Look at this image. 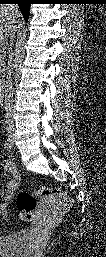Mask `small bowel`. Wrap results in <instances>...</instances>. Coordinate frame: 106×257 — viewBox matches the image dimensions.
Here are the masks:
<instances>
[{"label": "small bowel", "mask_w": 106, "mask_h": 257, "mask_svg": "<svg viewBox=\"0 0 106 257\" xmlns=\"http://www.w3.org/2000/svg\"><path fill=\"white\" fill-rule=\"evenodd\" d=\"M3 169L10 174L11 178L6 182L1 190L0 209L4 211L11 203L12 196L15 194L19 187L20 175L15 165L10 161L2 163Z\"/></svg>", "instance_id": "obj_1"}]
</instances>
